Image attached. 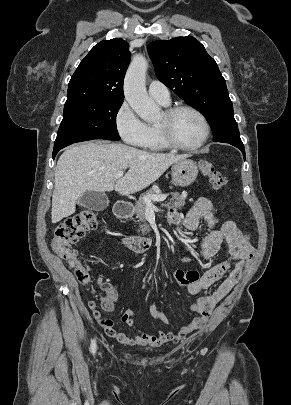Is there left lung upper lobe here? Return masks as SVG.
I'll list each match as a JSON object with an SVG mask.
<instances>
[{
	"label": "left lung upper lobe",
	"instance_id": "1",
	"mask_svg": "<svg viewBox=\"0 0 291 405\" xmlns=\"http://www.w3.org/2000/svg\"><path fill=\"white\" fill-rule=\"evenodd\" d=\"M158 79L208 120L214 142L243 144L226 82L215 60L192 36L147 47Z\"/></svg>",
	"mask_w": 291,
	"mask_h": 405
}]
</instances>
